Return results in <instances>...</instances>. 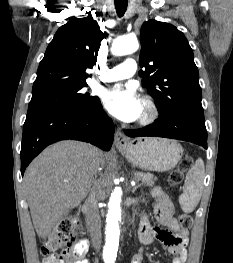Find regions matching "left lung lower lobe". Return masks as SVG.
I'll use <instances>...</instances> for the list:
<instances>
[{
    "instance_id": "0a47b994",
    "label": "left lung lower lobe",
    "mask_w": 233,
    "mask_h": 263,
    "mask_svg": "<svg viewBox=\"0 0 233 263\" xmlns=\"http://www.w3.org/2000/svg\"><path fill=\"white\" fill-rule=\"evenodd\" d=\"M129 137L156 136L196 143L207 149V131L204 113L180 111L159 117L153 124L142 129L126 130Z\"/></svg>"
}]
</instances>
